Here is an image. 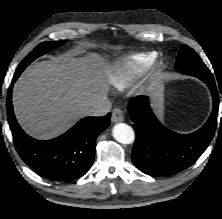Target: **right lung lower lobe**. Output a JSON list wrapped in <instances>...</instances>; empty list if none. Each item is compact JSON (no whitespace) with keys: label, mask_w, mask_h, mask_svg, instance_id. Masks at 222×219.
<instances>
[{"label":"right lung lower lobe","mask_w":222,"mask_h":219,"mask_svg":"<svg viewBox=\"0 0 222 219\" xmlns=\"http://www.w3.org/2000/svg\"><path fill=\"white\" fill-rule=\"evenodd\" d=\"M18 77L14 75L12 85ZM12 85L8 89L7 117L14 144L24 162L51 181L68 182L85 175L94 161L96 137L109 126L110 114L82 119L57 138L35 140L20 128L15 119Z\"/></svg>","instance_id":"98d812e1"}]
</instances>
